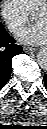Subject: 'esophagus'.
Here are the masks:
<instances>
[{"label":"esophagus","mask_w":47,"mask_h":129,"mask_svg":"<svg viewBox=\"0 0 47 129\" xmlns=\"http://www.w3.org/2000/svg\"><path fill=\"white\" fill-rule=\"evenodd\" d=\"M35 48H33V47H27V46H24L23 47V51L25 52V53H32V52H35Z\"/></svg>","instance_id":"esophagus-1"}]
</instances>
